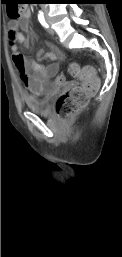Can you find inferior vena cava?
<instances>
[{"label":"inferior vena cava","mask_w":122,"mask_h":257,"mask_svg":"<svg viewBox=\"0 0 122 257\" xmlns=\"http://www.w3.org/2000/svg\"><path fill=\"white\" fill-rule=\"evenodd\" d=\"M47 4H42V9L44 10V11H46L47 10Z\"/></svg>","instance_id":"inferior-vena-cava-1"}]
</instances>
